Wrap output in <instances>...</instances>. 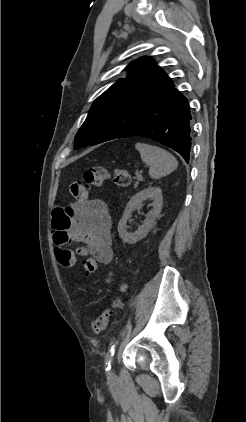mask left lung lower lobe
<instances>
[{"label": "left lung lower lobe", "instance_id": "1", "mask_svg": "<svg viewBox=\"0 0 246 422\" xmlns=\"http://www.w3.org/2000/svg\"><path fill=\"white\" fill-rule=\"evenodd\" d=\"M190 106L172 83L152 107L118 138L142 136L177 151L188 163L191 152Z\"/></svg>", "mask_w": 246, "mask_h": 422}]
</instances>
